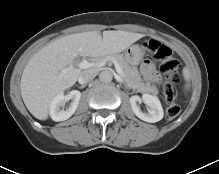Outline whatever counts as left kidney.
Instances as JSON below:
<instances>
[{
    "instance_id": "1",
    "label": "left kidney",
    "mask_w": 219,
    "mask_h": 174,
    "mask_svg": "<svg viewBox=\"0 0 219 174\" xmlns=\"http://www.w3.org/2000/svg\"><path fill=\"white\" fill-rule=\"evenodd\" d=\"M139 101H143L149 107L147 113L141 111L140 107L137 105V102ZM130 104L134 114L143 121L155 123L160 121L164 116L160 100L154 95L145 93L142 95V98L137 95L131 96Z\"/></svg>"
}]
</instances>
